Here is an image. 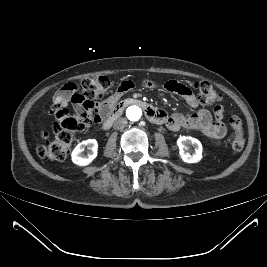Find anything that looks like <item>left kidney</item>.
I'll list each match as a JSON object with an SVG mask.
<instances>
[{"mask_svg": "<svg viewBox=\"0 0 267 267\" xmlns=\"http://www.w3.org/2000/svg\"><path fill=\"white\" fill-rule=\"evenodd\" d=\"M177 145L179 147V156L186 163H197L202 159V144L201 142L190 136H182L177 140ZM192 146L194 152L189 153L188 149Z\"/></svg>", "mask_w": 267, "mask_h": 267, "instance_id": "5707ae66", "label": "left kidney"}]
</instances>
